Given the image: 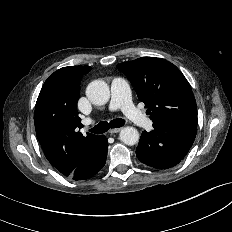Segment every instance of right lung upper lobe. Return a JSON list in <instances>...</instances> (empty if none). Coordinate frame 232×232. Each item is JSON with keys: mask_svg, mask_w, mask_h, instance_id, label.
<instances>
[{"mask_svg": "<svg viewBox=\"0 0 232 232\" xmlns=\"http://www.w3.org/2000/svg\"><path fill=\"white\" fill-rule=\"evenodd\" d=\"M90 66L63 67L45 81L38 96L34 124L38 141L48 161L65 176L78 165L84 151L99 136L78 131L80 81Z\"/></svg>", "mask_w": 232, "mask_h": 232, "instance_id": "right-lung-upper-lobe-1", "label": "right lung upper lobe"}]
</instances>
